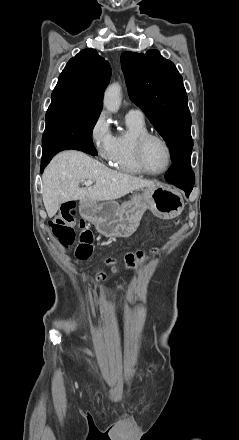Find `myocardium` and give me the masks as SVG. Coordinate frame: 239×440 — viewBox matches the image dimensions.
I'll use <instances>...</instances> for the list:
<instances>
[{
	"label": "myocardium",
	"mask_w": 239,
	"mask_h": 440,
	"mask_svg": "<svg viewBox=\"0 0 239 440\" xmlns=\"http://www.w3.org/2000/svg\"><path fill=\"white\" fill-rule=\"evenodd\" d=\"M151 139H157V140L161 141L165 145L167 153H168L167 166L164 170H162L160 172L151 171L145 162V157H144L145 146L148 143V141ZM134 155H135L136 162H137L139 168L145 174H147L149 176H153V177H158V176L166 174L170 170L172 163H173V151H172L171 144L163 135L156 133V132L147 131V132L139 134L135 138Z\"/></svg>",
	"instance_id": "f54148a6"
}]
</instances>
